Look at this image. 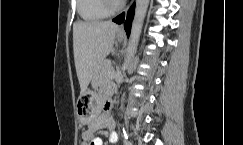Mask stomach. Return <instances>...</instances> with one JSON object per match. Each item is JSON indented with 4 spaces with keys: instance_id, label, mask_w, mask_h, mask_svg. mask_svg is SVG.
Listing matches in <instances>:
<instances>
[{
    "instance_id": "obj_1",
    "label": "stomach",
    "mask_w": 243,
    "mask_h": 145,
    "mask_svg": "<svg viewBox=\"0 0 243 145\" xmlns=\"http://www.w3.org/2000/svg\"><path fill=\"white\" fill-rule=\"evenodd\" d=\"M118 41H122L123 37L118 34ZM102 103L101 94H91L87 91L81 94L78 98V119L82 123H89L92 121L99 113Z\"/></svg>"
}]
</instances>
